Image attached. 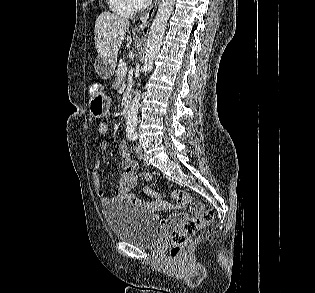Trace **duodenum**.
<instances>
[{"label":"duodenum","instance_id":"obj_1","mask_svg":"<svg viewBox=\"0 0 315 293\" xmlns=\"http://www.w3.org/2000/svg\"><path fill=\"white\" fill-rule=\"evenodd\" d=\"M131 101L129 99L125 100L122 105V115L127 117L130 111Z\"/></svg>","mask_w":315,"mask_h":293}]
</instances>
